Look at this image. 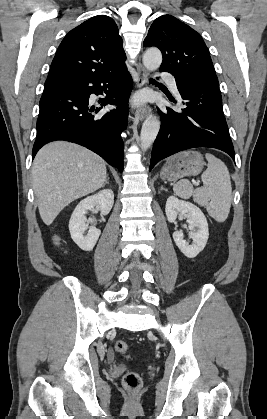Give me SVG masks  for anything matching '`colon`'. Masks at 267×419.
Instances as JSON below:
<instances>
[{
    "instance_id": "1",
    "label": "colon",
    "mask_w": 267,
    "mask_h": 419,
    "mask_svg": "<svg viewBox=\"0 0 267 419\" xmlns=\"http://www.w3.org/2000/svg\"><path fill=\"white\" fill-rule=\"evenodd\" d=\"M115 350L121 354H126L128 344L124 341H118L115 344ZM123 384L128 390L137 391L142 385V379L138 373L130 371L124 375Z\"/></svg>"
}]
</instances>
